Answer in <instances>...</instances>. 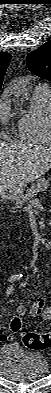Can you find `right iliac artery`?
<instances>
[{
    "label": "right iliac artery",
    "mask_w": 51,
    "mask_h": 393,
    "mask_svg": "<svg viewBox=\"0 0 51 393\" xmlns=\"http://www.w3.org/2000/svg\"><path fill=\"white\" fill-rule=\"evenodd\" d=\"M22 276H23L22 274L14 275V276L11 277V280H10V281H12V280L14 281V280H16V279H20Z\"/></svg>",
    "instance_id": "obj_1"
}]
</instances>
